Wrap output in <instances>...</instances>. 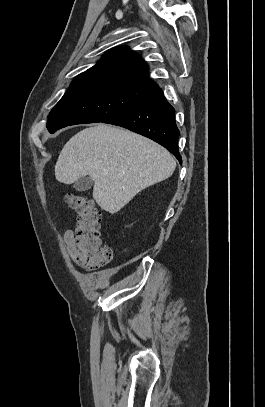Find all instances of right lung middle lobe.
<instances>
[{"instance_id":"right-lung-middle-lobe-1","label":"right lung middle lobe","mask_w":265,"mask_h":407,"mask_svg":"<svg viewBox=\"0 0 265 407\" xmlns=\"http://www.w3.org/2000/svg\"><path fill=\"white\" fill-rule=\"evenodd\" d=\"M156 87L106 76H77L50 113V133L75 124L104 122L148 98Z\"/></svg>"}]
</instances>
